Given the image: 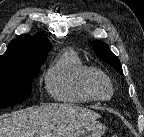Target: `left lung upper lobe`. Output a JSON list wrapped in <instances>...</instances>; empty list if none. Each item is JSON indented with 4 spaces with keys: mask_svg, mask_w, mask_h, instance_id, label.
<instances>
[{
    "mask_svg": "<svg viewBox=\"0 0 144 137\" xmlns=\"http://www.w3.org/2000/svg\"><path fill=\"white\" fill-rule=\"evenodd\" d=\"M92 46L96 54L100 57V59L109 63L120 74L123 75V70L119 59L109 50L108 46L105 43L101 41H95L92 43Z\"/></svg>",
    "mask_w": 144,
    "mask_h": 137,
    "instance_id": "5c2ea615",
    "label": "left lung upper lobe"
}]
</instances>
